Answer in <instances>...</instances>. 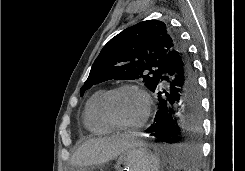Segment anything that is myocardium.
<instances>
[{"mask_svg": "<svg viewBox=\"0 0 245 171\" xmlns=\"http://www.w3.org/2000/svg\"><path fill=\"white\" fill-rule=\"evenodd\" d=\"M136 90L138 91L145 100V112L142 119L136 124H123L120 123L112 114L110 110V102L115 94L123 90ZM152 100L149 93L140 85L134 83H125L119 86H116L103 95L100 102V111L105 119V121L110 124L113 128L122 130V131H135L143 128L149 120L151 114Z\"/></svg>", "mask_w": 245, "mask_h": 171, "instance_id": "1", "label": "myocardium"}]
</instances>
